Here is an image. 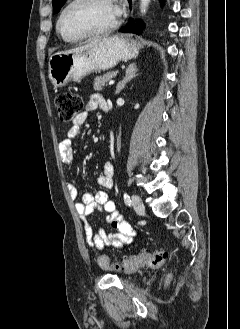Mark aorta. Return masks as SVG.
Wrapping results in <instances>:
<instances>
[{"mask_svg": "<svg viewBox=\"0 0 240 329\" xmlns=\"http://www.w3.org/2000/svg\"><path fill=\"white\" fill-rule=\"evenodd\" d=\"M150 0H140V11L145 14L147 12Z\"/></svg>", "mask_w": 240, "mask_h": 329, "instance_id": "762f6f07", "label": "aorta"}]
</instances>
